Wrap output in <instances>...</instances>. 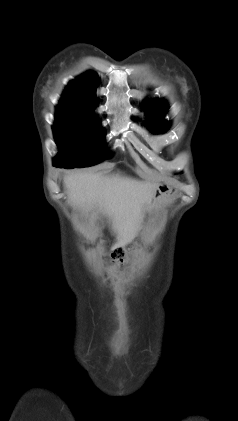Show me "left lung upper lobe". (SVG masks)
<instances>
[{"mask_svg": "<svg viewBox=\"0 0 238 421\" xmlns=\"http://www.w3.org/2000/svg\"><path fill=\"white\" fill-rule=\"evenodd\" d=\"M144 109L147 110L149 118L151 119V122L148 123V125L154 132H163L167 129L168 123L161 120L167 111V105L165 101L152 100L145 104Z\"/></svg>", "mask_w": 238, "mask_h": 421, "instance_id": "1", "label": "left lung upper lobe"}]
</instances>
